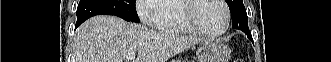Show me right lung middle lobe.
<instances>
[{
  "instance_id": "dd1d6c3e",
  "label": "right lung middle lobe",
  "mask_w": 331,
  "mask_h": 62,
  "mask_svg": "<svg viewBox=\"0 0 331 62\" xmlns=\"http://www.w3.org/2000/svg\"><path fill=\"white\" fill-rule=\"evenodd\" d=\"M115 15L129 22H140L135 0H80L77 7V23L82 24L95 15Z\"/></svg>"
}]
</instances>
